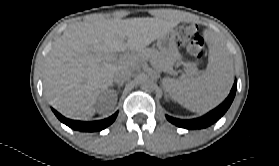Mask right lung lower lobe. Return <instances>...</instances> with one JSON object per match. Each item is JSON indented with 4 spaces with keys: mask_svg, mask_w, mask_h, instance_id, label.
<instances>
[{
    "mask_svg": "<svg viewBox=\"0 0 279 166\" xmlns=\"http://www.w3.org/2000/svg\"><path fill=\"white\" fill-rule=\"evenodd\" d=\"M54 114L57 116V118L69 126L70 128L78 131H100L109 126L114 122L116 119L118 112L113 114L111 117L106 118L104 120L99 121H92V122H83V121H76V120H70L59 114L57 111L53 109Z\"/></svg>",
    "mask_w": 279,
    "mask_h": 166,
    "instance_id": "98d812e1",
    "label": "right lung lower lobe"
}]
</instances>
